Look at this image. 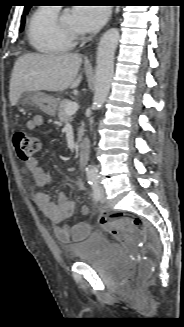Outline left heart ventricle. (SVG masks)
Returning <instances> with one entry per match:
<instances>
[{
  "mask_svg": "<svg viewBox=\"0 0 184 327\" xmlns=\"http://www.w3.org/2000/svg\"><path fill=\"white\" fill-rule=\"evenodd\" d=\"M62 23L66 28L78 30L75 17L71 12L62 15Z\"/></svg>",
  "mask_w": 184,
  "mask_h": 327,
  "instance_id": "b2bd125f",
  "label": "left heart ventricle"
}]
</instances>
